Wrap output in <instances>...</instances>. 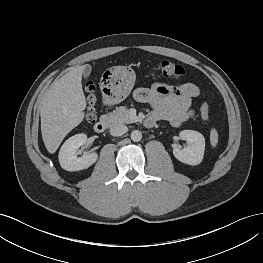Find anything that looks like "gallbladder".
Wrapping results in <instances>:
<instances>
[{"instance_id": "bac80fb5", "label": "gallbladder", "mask_w": 263, "mask_h": 263, "mask_svg": "<svg viewBox=\"0 0 263 263\" xmlns=\"http://www.w3.org/2000/svg\"><path fill=\"white\" fill-rule=\"evenodd\" d=\"M91 71H92V68H91L90 65H84V67H83V76H84V78H88L90 73H91Z\"/></svg>"}]
</instances>
